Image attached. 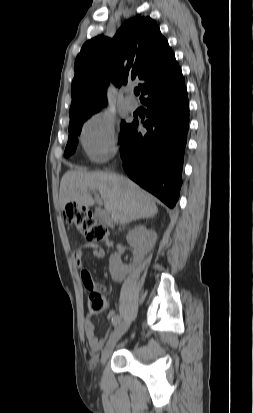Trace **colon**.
I'll return each mask as SVG.
<instances>
[{
    "label": "colon",
    "mask_w": 253,
    "mask_h": 413,
    "mask_svg": "<svg viewBox=\"0 0 253 413\" xmlns=\"http://www.w3.org/2000/svg\"><path fill=\"white\" fill-rule=\"evenodd\" d=\"M65 221L75 226L89 241H105L109 233L105 226L99 224L92 214L76 204H68L63 211ZM88 309L90 313H100L107 307V301L102 293V288L93 283L88 287Z\"/></svg>",
    "instance_id": "1"
}]
</instances>
